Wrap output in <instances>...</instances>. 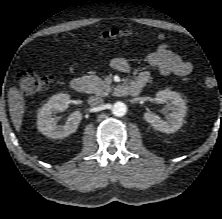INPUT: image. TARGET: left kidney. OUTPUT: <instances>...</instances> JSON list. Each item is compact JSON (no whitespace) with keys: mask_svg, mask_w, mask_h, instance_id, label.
I'll list each match as a JSON object with an SVG mask.
<instances>
[{"mask_svg":"<svg viewBox=\"0 0 222 219\" xmlns=\"http://www.w3.org/2000/svg\"><path fill=\"white\" fill-rule=\"evenodd\" d=\"M155 99L158 103H166L171 110L168 120H162L150 111L144 113V119L160 132L174 133L178 131L183 124V118L187 111L185 101L177 92L168 89L159 91Z\"/></svg>","mask_w":222,"mask_h":219,"instance_id":"5707ae66","label":"left kidney"}]
</instances>
